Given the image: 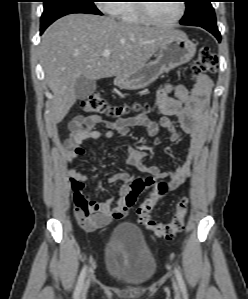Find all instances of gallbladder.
I'll return each instance as SVG.
<instances>
[{
  "instance_id": "1",
  "label": "gallbladder",
  "mask_w": 248,
  "mask_h": 299,
  "mask_svg": "<svg viewBox=\"0 0 248 299\" xmlns=\"http://www.w3.org/2000/svg\"><path fill=\"white\" fill-rule=\"evenodd\" d=\"M74 90L79 100H85L96 90V81L80 76L75 82Z\"/></svg>"
}]
</instances>
